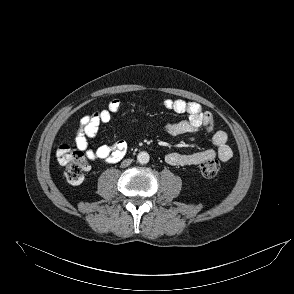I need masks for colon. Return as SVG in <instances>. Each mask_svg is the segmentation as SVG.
<instances>
[{"mask_svg": "<svg viewBox=\"0 0 294 294\" xmlns=\"http://www.w3.org/2000/svg\"><path fill=\"white\" fill-rule=\"evenodd\" d=\"M57 160L64 168V176L70 184H80L84 179V174L88 170V163L85 155L77 147L70 144H62L58 147ZM200 173L205 178L214 177L220 164L216 158H207L199 166Z\"/></svg>", "mask_w": 294, "mask_h": 294, "instance_id": "obj_1", "label": "colon"}]
</instances>
